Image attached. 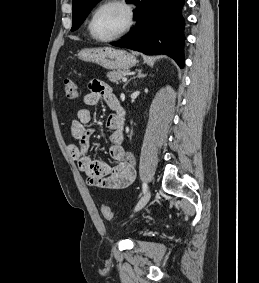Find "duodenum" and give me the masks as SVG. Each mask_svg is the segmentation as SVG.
Returning <instances> with one entry per match:
<instances>
[{
    "mask_svg": "<svg viewBox=\"0 0 259 283\" xmlns=\"http://www.w3.org/2000/svg\"><path fill=\"white\" fill-rule=\"evenodd\" d=\"M117 113L120 117H122L124 115V112H123V110L120 106L117 108Z\"/></svg>",
    "mask_w": 259,
    "mask_h": 283,
    "instance_id": "duodenum-1",
    "label": "duodenum"
}]
</instances>
